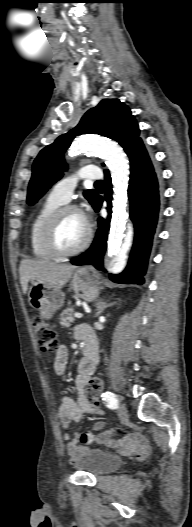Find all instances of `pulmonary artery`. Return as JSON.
<instances>
[{"mask_svg": "<svg viewBox=\"0 0 192 527\" xmlns=\"http://www.w3.org/2000/svg\"><path fill=\"white\" fill-rule=\"evenodd\" d=\"M102 171L97 166L88 165L79 169L75 174L65 177L58 181L51 189L49 196L61 203L68 202L76 188L79 180H100Z\"/></svg>", "mask_w": 192, "mask_h": 527, "instance_id": "1", "label": "pulmonary artery"}]
</instances>
